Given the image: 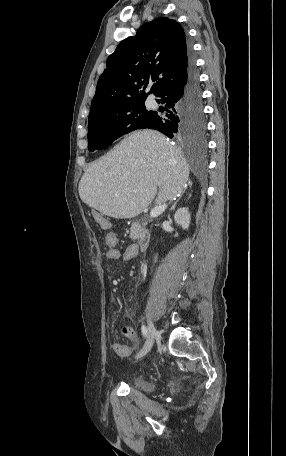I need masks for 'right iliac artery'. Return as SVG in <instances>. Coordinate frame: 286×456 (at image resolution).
Segmentation results:
<instances>
[{
    "instance_id": "82829eb1",
    "label": "right iliac artery",
    "mask_w": 286,
    "mask_h": 456,
    "mask_svg": "<svg viewBox=\"0 0 286 456\" xmlns=\"http://www.w3.org/2000/svg\"><path fill=\"white\" fill-rule=\"evenodd\" d=\"M141 331H142L143 336L146 337L147 336V328L144 325L141 326Z\"/></svg>"
}]
</instances>
